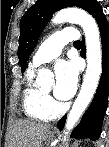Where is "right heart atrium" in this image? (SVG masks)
Listing matches in <instances>:
<instances>
[{"mask_svg": "<svg viewBox=\"0 0 109 147\" xmlns=\"http://www.w3.org/2000/svg\"><path fill=\"white\" fill-rule=\"evenodd\" d=\"M47 101H48V102H51L52 100H51L49 97H47Z\"/></svg>", "mask_w": 109, "mask_h": 147, "instance_id": "1", "label": "right heart atrium"}]
</instances>
